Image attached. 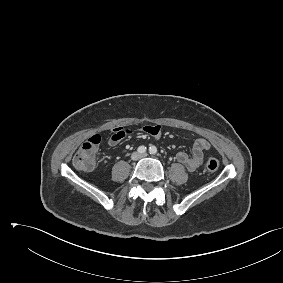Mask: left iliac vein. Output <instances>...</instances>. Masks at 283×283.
I'll return each instance as SVG.
<instances>
[{
  "instance_id": "4c4485c4",
  "label": "left iliac vein",
  "mask_w": 283,
  "mask_h": 283,
  "mask_svg": "<svg viewBox=\"0 0 283 283\" xmlns=\"http://www.w3.org/2000/svg\"><path fill=\"white\" fill-rule=\"evenodd\" d=\"M145 157H147V153H143L140 155V158H145Z\"/></svg>"
}]
</instances>
